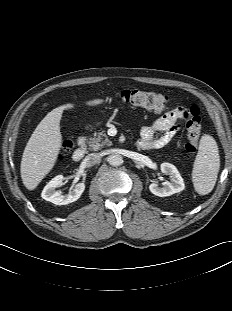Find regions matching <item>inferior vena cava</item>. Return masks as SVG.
<instances>
[{
	"mask_svg": "<svg viewBox=\"0 0 232 311\" xmlns=\"http://www.w3.org/2000/svg\"><path fill=\"white\" fill-rule=\"evenodd\" d=\"M101 161V156L98 153H91L85 158L87 166H94L99 164Z\"/></svg>",
	"mask_w": 232,
	"mask_h": 311,
	"instance_id": "1",
	"label": "inferior vena cava"
}]
</instances>
